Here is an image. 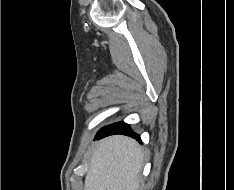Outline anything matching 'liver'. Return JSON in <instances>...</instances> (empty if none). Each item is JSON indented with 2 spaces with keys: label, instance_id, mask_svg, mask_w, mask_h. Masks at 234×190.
<instances>
[{
  "label": "liver",
  "instance_id": "6515ba94",
  "mask_svg": "<svg viewBox=\"0 0 234 190\" xmlns=\"http://www.w3.org/2000/svg\"><path fill=\"white\" fill-rule=\"evenodd\" d=\"M142 165L143 151L134 139L107 137L93 150L84 190H138Z\"/></svg>",
  "mask_w": 234,
  "mask_h": 190
}]
</instances>
